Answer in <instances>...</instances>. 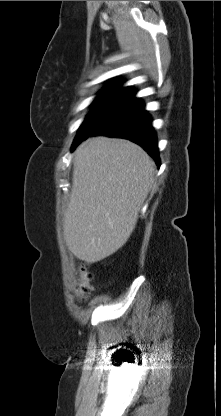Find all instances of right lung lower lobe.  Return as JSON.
Masks as SVG:
<instances>
[{
	"mask_svg": "<svg viewBox=\"0 0 221 416\" xmlns=\"http://www.w3.org/2000/svg\"><path fill=\"white\" fill-rule=\"evenodd\" d=\"M95 135L129 139L143 147L160 167L156 133L151 126V118L139 98L131 96L125 99L95 130L75 139L72 150L81 141Z\"/></svg>",
	"mask_w": 221,
	"mask_h": 416,
	"instance_id": "98d812e1",
	"label": "right lung lower lobe"
}]
</instances>
